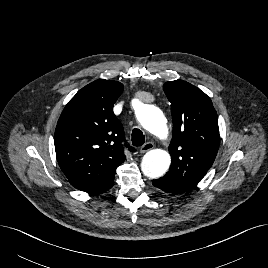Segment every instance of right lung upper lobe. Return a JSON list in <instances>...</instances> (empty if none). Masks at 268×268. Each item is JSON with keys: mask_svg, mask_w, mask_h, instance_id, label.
I'll return each mask as SVG.
<instances>
[{"mask_svg": "<svg viewBox=\"0 0 268 268\" xmlns=\"http://www.w3.org/2000/svg\"><path fill=\"white\" fill-rule=\"evenodd\" d=\"M122 92L117 81L99 79L86 85L67 103L56 126L62 172L72 186L91 195L114 185L116 169L126 158L124 130L112 111Z\"/></svg>", "mask_w": 268, "mask_h": 268, "instance_id": "cb5924a9", "label": "right lung upper lobe"}]
</instances>
